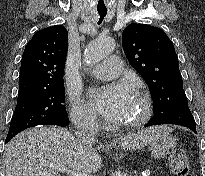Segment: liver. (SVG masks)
<instances>
[{"label": "liver", "mask_w": 205, "mask_h": 176, "mask_svg": "<svg viewBox=\"0 0 205 176\" xmlns=\"http://www.w3.org/2000/svg\"><path fill=\"white\" fill-rule=\"evenodd\" d=\"M159 130L170 131L167 127H152L120 138L119 145L130 151L142 148L151 142ZM43 161L90 175L102 166L101 157L93 144L81 143L65 129L42 127L26 130L7 144L5 176H60Z\"/></svg>", "instance_id": "1"}]
</instances>
